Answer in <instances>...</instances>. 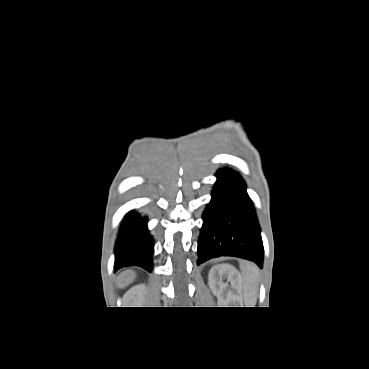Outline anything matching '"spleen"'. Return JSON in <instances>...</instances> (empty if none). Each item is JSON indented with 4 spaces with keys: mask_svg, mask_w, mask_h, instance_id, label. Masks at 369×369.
I'll return each mask as SVG.
<instances>
[{
    "mask_svg": "<svg viewBox=\"0 0 369 369\" xmlns=\"http://www.w3.org/2000/svg\"><path fill=\"white\" fill-rule=\"evenodd\" d=\"M242 280H243V296L244 302L247 303V307H254L253 305L257 301L258 290V268L255 264L245 262L240 265Z\"/></svg>",
    "mask_w": 369,
    "mask_h": 369,
    "instance_id": "1",
    "label": "spleen"
}]
</instances>
